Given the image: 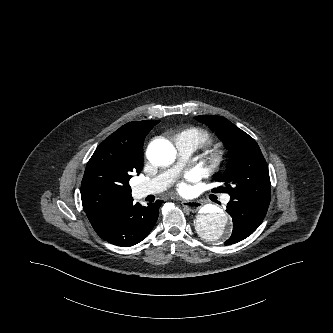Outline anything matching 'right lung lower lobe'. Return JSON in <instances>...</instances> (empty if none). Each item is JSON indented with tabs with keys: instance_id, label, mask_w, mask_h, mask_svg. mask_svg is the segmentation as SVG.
Here are the masks:
<instances>
[{
	"instance_id": "1",
	"label": "right lung lower lobe",
	"mask_w": 333,
	"mask_h": 333,
	"mask_svg": "<svg viewBox=\"0 0 333 333\" xmlns=\"http://www.w3.org/2000/svg\"><path fill=\"white\" fill-rule=\"evenodd\" d=\"M162 200L142 206L133 204V198L119 203L91 221L96 233L105 241L129 247L141 242L153 229Z\"/></svg>"
}]
</instances>
